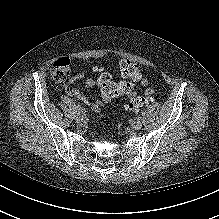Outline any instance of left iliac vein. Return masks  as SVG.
<instances>
[{"mask_svg": "<svg viewBox=\"0 0 219 219\" xmlns=\"http://www.w3.org/2000/svg\"><path fill=\"white\" fill-rule=\"evenodd\" d=\"M131 126H132L133 129L139 130V129H141V127H142V122L139 121V120H135V121H133V122L131 123Z\"/></svg>", "mask_w": 219, "mask_h": 219, "instance_id": "left-iliac-vein-1", "label": "left iliac vein"}]
</instances>
